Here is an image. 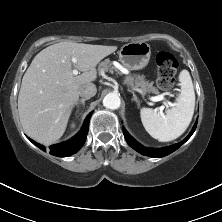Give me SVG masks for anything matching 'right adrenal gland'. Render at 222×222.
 <instances>
[{
	"label": "right adrenal gland",
	"mask_w": 222,
	"mask_h": 222,
	"mask_svg": "<svg viewBox=\"0 0 222 222\" xmlns=\"http://www.w3.org/2000/svg\"><path fill=\"white\" fill-rule=\"evenodd\" d=\"M88 100L87 98H81L79 99L76 103L75 106H77L79 108V106L81 105L82 108L84 109L85 107V101Z\"/></svg>",
	"instance_id": "right-adrenal-gland-1"
}]
</instances>
